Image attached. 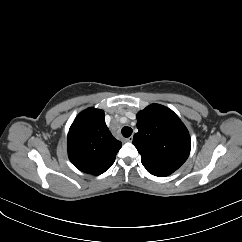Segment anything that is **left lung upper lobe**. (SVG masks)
<instances>
[{"label": "left lung upper lobe", "mask_w": 242, "mask_h": 242, "mask_svg": "<svg viewBox=\"0 0 242 242\" xmlns=\"http://www.w3.org/2000/svg\"><path fill=\"white\" fill-rule=\"evenodd\" d=\"M137 128L132 143L141 154L143 166L152 175L168 176L188 158L190 135L171 109L149 105L137 113Z\"/></svg>", "instance_id": "left-lung-upper-lobe-1"}]
</instances>
